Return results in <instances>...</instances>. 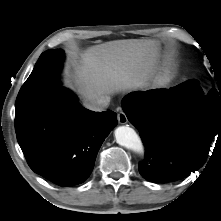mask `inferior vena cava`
<instances>
[{
  "label": "inferior vena cava",
  "instance_id": "inferior-vena-cava-1",
  "mask_svg": "<svg viewBox=\"0 0 221 221\" xmlns=\"http://www.w3.org/2000/svg\"><path fill=\"white\" fill-rule=\"evenodd\" d=\"M110 102V97L108 96H101L95 100L86 101L84 106L92 111H103L105 108L108 107Z\"/></svg>",
  "mask_w": 221,
  "mask_h": 221
}]
</instances>
